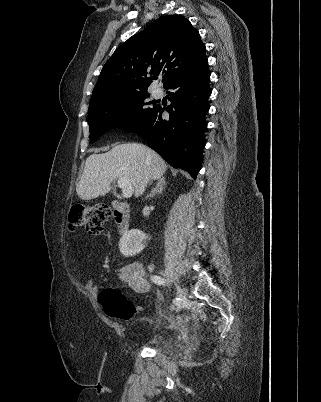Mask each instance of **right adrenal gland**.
Segmentation results:
<instances>
[{"label":"right adrenal gland","instance_id":"obj_1","mask_svg":"<svg viewBox=\"0 0 321 402\" xmlns=\"http://www.w3.org/2000/svg\"><path fill=\"white\" fill-rule=\"evenodd\" d=\"M166 187V181L165 177H161L156 185V187L150 192L149 195L146 196V198H152L154 197L157 193H161Z\"/></svg>","mask_w":321,"mask_h":402}]
</instances>
